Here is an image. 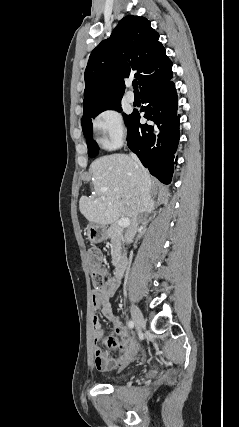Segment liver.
<instances>
[{"label":"liver","mask_w":239,"mask_h":427,"mask_svg":"<svg viewBox=\"0 0 239 427\" xmlns=\"http://www.w3.org/2000/svg\"><path fill=\"white\" fill-rule=\"evenodd\" d=\"M143 170L151 190V178L147 170ZM89 171L93 177L94 193L80 198L79 209L84 217L91 223L104 226L120 217L133 218L143 181L134 160L123 154L107 155L93 161Z\"/></svg>","instance_id":"liver-1"}]
</instances>
